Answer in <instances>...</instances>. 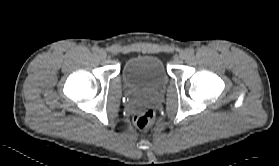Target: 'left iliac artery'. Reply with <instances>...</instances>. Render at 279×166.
<instances>
[{
    "label": "left iliac artery",
    "mask_w": 279,
    "mask_h": 166,
    "mask_svg": "<svg viewBox=\"0 0 279 166\" xmlns=\"http://www.w3.org/2000/svg\"><path fill=\"white\" fill-rule=\"evenodd\" d=\"M187 52H188L189 55H193L194 54V49L189 48V49H187Z\"/></svg>",
    "instance_id": "1"
}]
</instances>
